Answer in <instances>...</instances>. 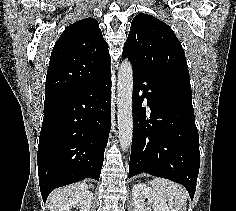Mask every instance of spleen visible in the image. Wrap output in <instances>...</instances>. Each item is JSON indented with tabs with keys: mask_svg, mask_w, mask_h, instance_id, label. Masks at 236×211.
Masks as SVG:
<instances>
[{
	"mask_svg": "<svg viewBox=\"0 0 236 211\" xmlns=\"http://www.w3.org/2000/svg\"><path fill=\"white\" fill-rule=\"evenodd\" d=\"M154 192L168 202L171 211H186L187 191L181 185L164 178L151 181Z\"/></svg>",
	"mask_w": 236,
	"mask_h": 211,
	"instance_id": "obj_1",
	"label": "spleen"
}]
</instances>
